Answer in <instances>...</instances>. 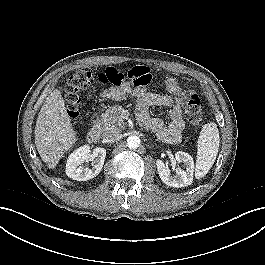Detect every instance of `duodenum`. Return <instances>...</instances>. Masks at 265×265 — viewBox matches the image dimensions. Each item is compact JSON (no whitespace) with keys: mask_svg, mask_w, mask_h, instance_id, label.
Listing matches in <instances>:
<instances>
[{"mask_svg":"<svg viewBox=\"0 0 265 265\" xmlns=\"http://www.w3.org/2000/svg\"><path fill=\"white\" fill-rule=\"evenodd\" d=\"M98 119H99V115L97 112H94L90 117L91 127L87 133V139L91 143H96L100 139L101 130L98 125Z\"/></svg>","mask_w":265,"mask_h":265,"instance_id":"1","label":"duodenum"}]
</instances>
